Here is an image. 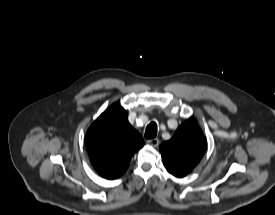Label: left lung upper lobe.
Masks as SVG:
<instances>
[{
  "label": "left lung upper lobe",
  "instance_id": "obj_1",
  "mask_svg": "<svg viewBox=\"0 0 275 215\" xmlns=\"http://www.w3.org/2000/svg\"><path fill=\"white\" fill-rule=\"evenodd\" d=\"M206 148V138L191 118L180 125L171 140L160 145V152L167 171L176 177H184L199 163Z\"/></svg>",
  "mask_w": 275,
  "mask_h": 215
}]
</instances>
